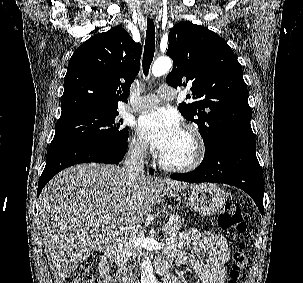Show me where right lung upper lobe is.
Returning a JSON list of instances; mask_svg holds the SVG:
<instances>
[{"instance_id":"1","label":"right lung upper lobe","mask_w":303,"mask_h":283,"mask_svg":"<svg viewBox=\"0 0 303 283\" xmlns=\"http://www.w3.org/2000/svg\"><path fill=\"white\" fill-rule=\"evenodd\" d=\"M141 44L122 27L98 33L73 53L64 78L61 116L117 112L140 69Z\"/></svg>"}]
</instances>
